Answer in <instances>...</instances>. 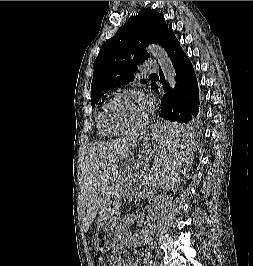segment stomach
I'll return each mask as SVG.
<instances>
[{
  "instance_id": "1",
  "label": "stomach",
  "mask_w": 253,
  "mask_h": 266,
  "mask_svg": "<svg viewBox=\"0 0 253 266\" xmlns=\"http://www.w3.org/2000/svg\"><path fill=\"white\" fill-rule=\"evenodd\" d=\"M162 138H170L167 132H159V126L152 135V143L145 138L137 140L112 167L107 179L106 201L100 216L94 238L95 248L101 252L110 251L116 244V230L120 222V199L125 178L134 170L156 158L161 150Z\"/></svg>"
}]
</instances>
